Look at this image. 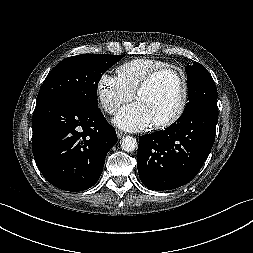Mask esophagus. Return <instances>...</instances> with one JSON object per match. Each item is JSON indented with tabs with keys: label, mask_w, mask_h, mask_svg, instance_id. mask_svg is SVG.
Instances as JSON below:
<instances>
[{
	"label": "esophagus",
	"mask_w": 253,
	"mask_h": 253,
	"mask_svg": "<svg viewBox=\"0 0 253 253\" xmlns=\"http://www.w3.org/2000/svg\"><path fill=\"white\" fill-rule=\"evenodd\" d=\"M116 134H117V137L119 138V139H121L125 134L123 133V132H121V131H117L116 132Z\"/></svg>",
	"instance_id": "1"
}]
</instances>
